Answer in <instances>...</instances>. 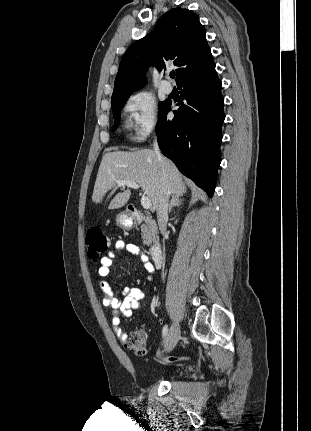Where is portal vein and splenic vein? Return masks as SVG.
Wrapping results in <instances>:
<instances>
[{
	"label": "portal vein and splenic vein",
	"mask_w": 311,
	"mask_h": 431,
	"mask_svg": "<svg viewBox=\"0 0 311 431\" xmlns=\"http://www.w3.org/2000/svg\"><path fill=\"white\" fill-rule=\"evenodd\" d=\"M116 184L118 188H121V186H129V188H133V190H139L140 188L138 184H135V182H129V180H116ZM140 202L144 210H150V208H152L151 200L146 198V196H141Z\"/></svg>",
	"instance_id": "obj_1"
}]
</instances>
